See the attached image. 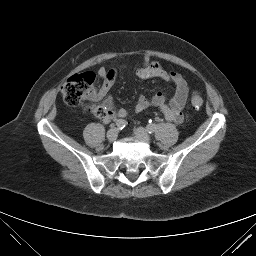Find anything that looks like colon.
I'll return each instance as SVG.
<instances>
[{
	"instance_id": "5ec220e1",
	"label": "colon",
	"mask_w": 256,
	"mask_h": 256,
	"mask_svg": "<svg viewBox=\"0 0 256 256\" xmlns=\"http://www.w3.org/2000/svg\"><path fill=\"white\" fill-rule=\"evenodd\" d=\"M96 75L93 72H84L70 76L61 86L63 100L70 106L80 104L85 100L92 99L95 94ZM203 99L198 93H193L191 104L194 109L203 106ZM86 111L94 116L103 117L105 109L103 106L89 102Z\"/></svg>"
}]
</instances>
